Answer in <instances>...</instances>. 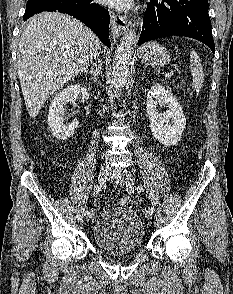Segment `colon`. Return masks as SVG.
Returning a JSON list of instances; mask_svg holds the SVG:
<instances>
[{"instance_id": "5ec220e1", "label": "colon", "mask_w": 233, "mask_h": 294, "mask_svg": "<svg viewBox=\"0 0 233 294\" xmlns=\"http://www.w3.org/2000/svg\"><path fill=\"white\" fill-rule=\"evenodd\" d=\"M120 205H121L122 207H125V208H130V207H132L133 202H132V200L129 199V198H123V199L120 201Z\"/></svg>"}]
</instances>
